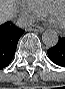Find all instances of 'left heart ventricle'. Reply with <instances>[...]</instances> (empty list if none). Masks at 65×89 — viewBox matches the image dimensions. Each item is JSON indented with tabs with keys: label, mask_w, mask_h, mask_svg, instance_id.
<instances>
[{
	"label": "left heart ventricle",
	"mask_w": 65,
	"mask_h": 89,
	"mask_svg": "<svg viewBox=\"0 0 65 89\" xmlns=\"http://www.w3.org/2000/svg\"><path fill=\"white\" fill-rule=\"evenodd\" d=\"M53 22L58 26L65 25V8L63 5H59L53 12Z\"/></svg>",
	"instance_id": "obj_1"
}]
</instances>
